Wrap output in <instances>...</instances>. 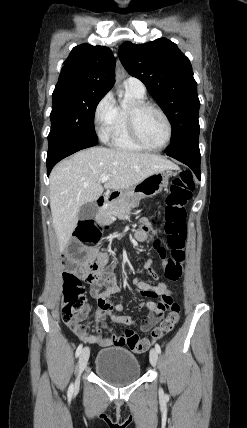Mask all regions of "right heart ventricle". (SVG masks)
<instances>
[{"instance_id": "1", "label": "right heart ventricle", "mask_w": 247, "mask_h": 428, "mask_svg": "<svg viewBox=\"0 0 247 428\" xmlns=\"http://www.w3.org/2000/svg\"><path fill=\"white\" fill-rule=\"evenodd\" d=\"M127 93L133 102L144 101L145 94H140L131 89H127ZM116 108H117V113H116L115 124H114L112 134L110 136L111 145L115 148L128 150V151L144 150L143 147H141L136 142H134V140L131 138L129 134L128 127H127V119H126V112L128 108L123 105L117 106Z\"/></svg>"}]
</instances>
